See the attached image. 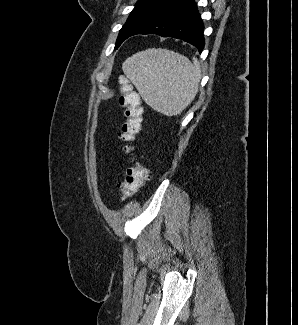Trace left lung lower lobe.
Here are the masks:
<instances>
[{
  "instance_id": "left-lung-lower-lobe-1",
  "label": "left lung lower lobe",
  "mask_w": 298,
  "mask_h": 325,
  "mask_svg": "<svg viewBox=\"0 0 298 325\" xmlns=\"http://www.w3.org/2000/svg\"><path fill=\"white\" fill-rule=\"evenodd\" d=\"M203 30L194 0H161L133 27L128 37L136 34L174 37L194 45L201 53L205 44Z\"/></svg>"
}]
</instances>
